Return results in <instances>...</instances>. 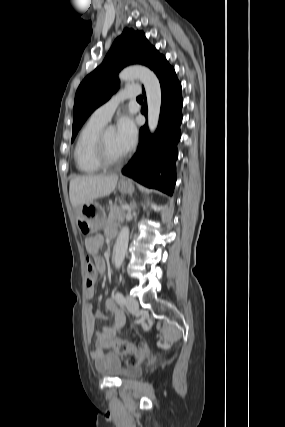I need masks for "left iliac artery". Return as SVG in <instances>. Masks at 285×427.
<instances>
[{
    "label": "left iliac artery",
    "instance_id": "44dca946",
    "mask_svg": "<svg viewBox=\"0 0 285 427\" xmlns=\"http://www.w3.org/2000/svg\"><path fill=\"white\" fill-rule=\"evenodd\" d=\"M115 297L120 304L125 305L126 301H125V298L121 292H117Z\"/></svg>",
    "mask_w": 285,
    "mask_h": 427
}]
</instances>
